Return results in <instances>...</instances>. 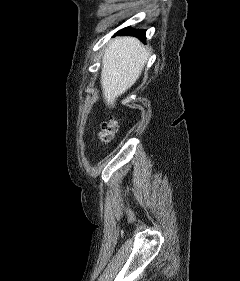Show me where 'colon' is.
Segmentation results:
<instances>
[{
  "label": "colon",
  "mask_w": 240,
  "mask_h": 281,
  "mask_svg": "<svg viewBox=\"0 0 240 281\" xmlns=\"http://www.w3.org/2000/svg\"><path fill=\"white\" fill-rule=\"evenodd\" d=\"M116 129H117V126L114 121L104 122L102 124L101 130L99 132V140L103 144L109 143L112 140V138L116 132Z\"/></svg>",
  "instance_id": "obj_1"
}]
</instances>
